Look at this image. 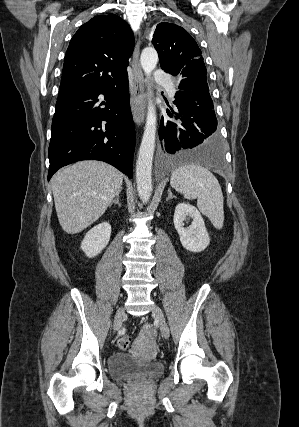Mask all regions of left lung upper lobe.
<instances>
[{
    "label": "left lung upper lobe",
    "instance_id": "obj_1",
    "mask_svg": "<svg viewBox=\"0 0 299 427\" xmlns=\"http://www.w3.org/2000/svg\"><path fill=\"white\" fill-rule=\"evenodd\" d=\"M152 43L158 52L161 68L180 78L179 90L198 94L213 104L201 50L189 33L176 24L160 23Z\"/></svg>",
    "mask_w": 299,
    "mask_h": 427
}]
</instances>
